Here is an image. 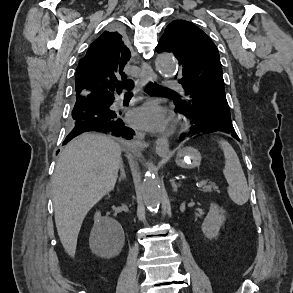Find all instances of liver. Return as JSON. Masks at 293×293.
Listing matches in <instances>:
<instances>
[{
    "mask_svg": "<svg viewBox=\"0 0 293 293\" xmlns=\"http://www.w3.org/2000/svg\"><path fill=\"white\" fill-rule=\"evenodd\" d=\"M121 151L112 139L85 133L70 142L59 156L51 182L55 223L71 257L85 216L114 189Z\"/></svg>",
    "mask_w": 293,
    "mask_h": 293,
    "instance_id": "1",
    "label": "liver"
}]
</instances>
